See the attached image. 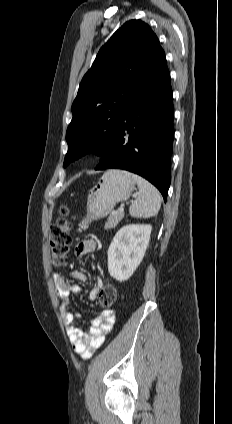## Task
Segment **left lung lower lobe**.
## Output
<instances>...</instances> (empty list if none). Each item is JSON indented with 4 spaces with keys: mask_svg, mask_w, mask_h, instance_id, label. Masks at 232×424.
I'll use <instances>...</instances> for the list:
<instances>
[{
    "mask_svg": "<svg viewBox=\"0 0 232 424\" xmlns=\"http://www.w3.org/2000/svg\"><path fill=\"white\" fill-rule=\"evenodd\" d=\"M173 119V93L164 58L127 105L95 169L136 173L155 185L166 201L171 182Z\"/></svg>",
    "mask_w": 232,
    "mask_h": 424,
    "instance_id": "obj_1",
    "label": "left lung lower lobe"
}]
</instances>
